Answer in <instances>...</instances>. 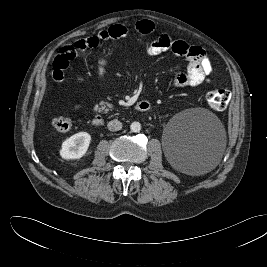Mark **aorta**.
Masks as SVG:
<instances>
[{
	"label": "aorta",
	"mask_w": 267,
	"mask_h": 267,
	"mask_svg": "<svg viewBox=\"0 0 267 267\" xmlns=\"http://www.w3.org/2000/svg\"><path fill=\"white\" fill-rule=\"evenodd\" d=\"M130 129L132 132H140L141 130V124L139 122H133L131 125H130Z\"/></svg>",
	"instance_id": "1"
}]
</instances>
